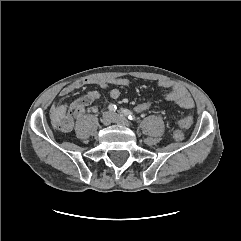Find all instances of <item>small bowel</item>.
<instances>
[{
    "label": "small bowel",
    "instance_id": "c3829d8e",
    "mask_svg": "<svg viewBox=\"0 0 241 241\" xmlns=\"http://www.w3.org/2000/svg\"><path fill=\"white\" fill-rule=\"evenodd\" d=\"M95 84L102 89H107L110 85L114 87L110 90L109 94L112 99H118L120 97V88L125 87L129 84V80L127 78H102V79H80L72 84L64 87L59 95L61 97H66L74 90L80 89L86 85ZM157 85L161 88L167 89L166 100L172 103H175L182 109H192L194 107V101L189 94V92L181 86L180 84L171 82L169 80H158ZM100 94L97 91H90L86 95H84L81 99L73 105V116L76 119H80L87 112H95L97 110L96 102L99 100ZM62 110L65 113L68 110L67 105H58L54 106L52 110ZM73 122L71 118H69V123L61 129L62 131L68 132L72 129Z\"/></svg>",
    "mask_w": 241,
    "mask_h": 241
}]
</instances>
